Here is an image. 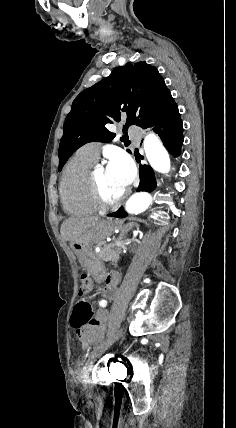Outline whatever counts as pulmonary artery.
<instances>
[{
    "mask_svg": "<svg viewBox=\"0 0 236 428\" xmlns=\"http://www.w3.org/2000/svg\"><path fill=\"white\" fill-rule=\"evenodd\" d=\"M133 140L135 142H138L139 138L138 137H134ZM85 150H86L87 154L92 159L96 160L99 157L100 150H99L98 146H96V145H87V146H85Z\"/></svg>",
    "mask_w": 236,
    "mask_h": 428,
    "instance_id": "e3ab8cb5",
    "label": "pulmonary artery"
}]
</instances>
